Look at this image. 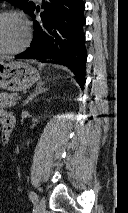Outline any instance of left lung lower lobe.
Instances as JSON below:
<instances>
[{
	"instance_id": "0a47b994",
	"label": "left lung lower lobe",
	"mask_w": 128,
	"mask_h": 213,
	"mask_svg": "<svg viewBox=\"0 0 128 213\" xmlns=\"http://www.w3.org/2000/svg\"><path fill=\"white\" fill-rule=\"evenodd\" d=\"M44 2V1H43ZM41 22L34 21V39L31 46L17 59L61 60L76 75L77 82L84 88L85 18L83 0H49L42 5ZM34 8L28 13L34 19Z\"/></svg>"
}]
</instances>
